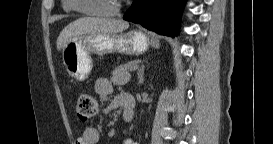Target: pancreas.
Listing matches in <instances>:
<instances>
[{
	"label": "pancreas",
	"mask_w": 273,
	"mask_h": 144,
	"mask_svg": "<svg viewBox=\"0 0 273 144\" xmlns=\"http://www.w3.org/2000/svg\"><path fill=\"white\" fill-rule=\"evenodd\" d=\"M133 66H134L133 63H127L124 65L118 66L112 72V76L110 78L111 82L116 86L125 85L131 78L129 70Z\"/></svg>",
	"instance_id": "cf45deb5"
}]
</instances>
